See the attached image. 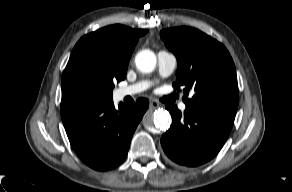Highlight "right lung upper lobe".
Here are the masks:
<instances>
[{
    "label": "right lung upper lobe",
    "instance_id": "1",
    "mask_svg": "<svg viewBox=\"0 0 292 192\" xmlns=\"http://www.w3.org/2000/svg\"><path fill=\"white\" fill-rule=\"evenodd\" d=\"M147 30H136L123 25H111L83 36L72 54L89 57L104 70L116 77L125 78L131 53L139 37Z\"/></svg>",
    "mask_w": 292,
    "mask_h": 192
}]
</instances>
